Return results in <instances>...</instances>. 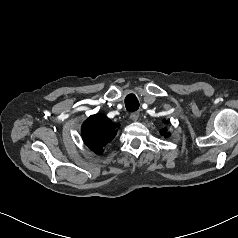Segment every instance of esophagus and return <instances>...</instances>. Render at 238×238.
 <instances>
[{"label": "esophagus", "instance_id": "esophagus-1", "mask_svg": "<svg viewBox=\"0 0 238 238\" xmlns=\"http://www.w3.org/2000/svg\"><path fill=\"white\" fill-rule=\"evenodd\" d=\"M139 115H140V113H139L138 111H136V112L131 113L130 118H131L133 121H137L138 118H139Z\"/></svg>", "mask_w": 238, "mask_h": 238}]
</instances>
